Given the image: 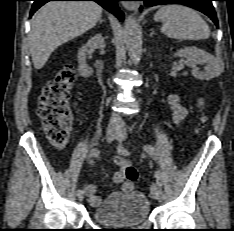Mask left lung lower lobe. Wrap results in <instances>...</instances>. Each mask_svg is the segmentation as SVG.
<instances>
[{
    "label": "left lung lower lobe",
    "instance_id": "0a47b994",
    "mask_svg": "<svg viewBox=\"0 0 234 231\" xmlns=\"http://www.w3.org/2000/svg\"><path fill=\"white\" fill-rule=\"evenodd\" d=\"M144 2V6L151 7L154 5H162V4H169V3H178L183 4L189 7H192L207 16H209L215 25L218 27V21L216 17V13L214 7L212 5L213 0H139ZM142 9V8H140Z\"/></svg>",
    "mask_w": 234,
    "mask_h": 231
}]
</instances>
